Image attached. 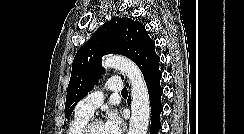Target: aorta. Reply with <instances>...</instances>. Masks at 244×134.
<instances>
[{
  "label": "aorta",
  "instance_id": "762f6f07",
  "mask_svg": "<svg viewBox=\"0 0 244 134\" xmlns=\"http://www.w3.org/2000/svg\"><path fill=\"white\" fill-rule=\"evenodd\" d=\"M105 68H116L131 85V119L127 134H146L150 120L148 88L138 66L122 56H110L103 60Z\"/></svg>",
  "mask_w": 244,
  "mask_h": 134
}]
</instances>
